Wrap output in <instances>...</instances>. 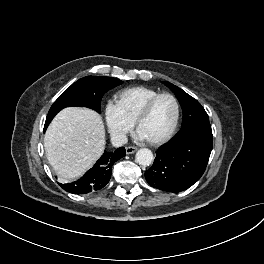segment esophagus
I'll use <instances>...</instances> for the list:
<instances>
[{
  "mask_svg": "<svg viewBox=\"0 0 264 264\" xmlns=\"http://www.w3.org/2000/svg\"><path fill=\"white\" fill-rule=\"evenodd\" d=\"M137 151V148L136 147H134V146H128L127 148H126V154H133L134 152H136Z\"/></svg>",
  "mask_w": 264,
  "mask_h": 264,
  "instance_id": "34e87169",
  "label": "esophagus"
}]
</instances>
